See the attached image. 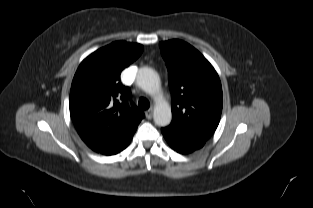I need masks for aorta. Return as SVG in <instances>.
<instances>
[{
  "mask_svg": "<svg viewBox=\"0 0 313 208\" xmlns=\"http://www.w3.org/2000/svg\"><path fill=\"white\" fill-rule=\"evenodd\" d=\"M137 85L146 93L155 95L160 92L159 75L151 68H142L137 75ZM153 119L156 125L164 127L170 124L172 112L169 104L158 100L154 108Z\"/></svg>",
  "mask_w": 313,
  "mask_h": 208,
  "instance_id": "762f6f07",
  "label": "aorta"
}]
</instances>
